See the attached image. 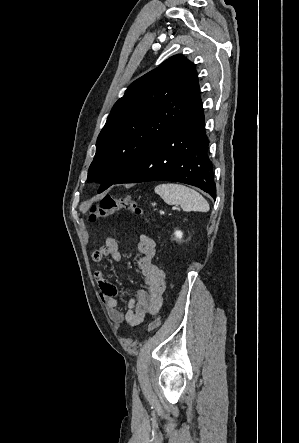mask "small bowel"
Returning a JSON list of instances; mask_svg holds the SVG:
<instances>
[{
  "instance_id": "1",
  "label": "small bowel",
  "mask_w": 299,
  "mask_h": 443,
  "mask_svg": "<svg viewBox=\"0 0 299 443\" xmlns=\"http://www.w3.org/2000/svg\"><path fill=\"white\" fill-rule=\"evenodd\" d=\"M136 249L139 256L138 269L145 278L146 288L137 290L134 296L129 299L126 312L121 311L118 307L116 299L118 289L116 285L107 279L103 271L97 270L94 273L100 297L105 304L110 319L117 327L121 325L132 327L140 325L146 314H157L163 302L165 274L153 263L156 254L155 241L146 235H141ZM92 257L95 263H103L108 258L121 263L122 254L119 250L118 241L115 238L106 237L104 244L93 252Z\"/></svg>"
}]
</instances>
